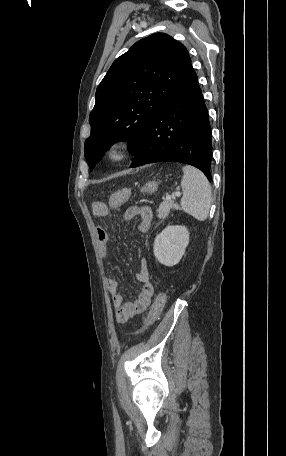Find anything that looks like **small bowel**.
<instances>
[{"instance_id": "c3829d8e", "label": "small bowel", "mask_w": 286, "mask_h": 456, "mask_svg": "<svg viewBox=\"0 0 286 456\" xmlns=\"http://www.w3.org/2000/svg\"><path fill=\"white\" fill-rule=\"evenodd\" d=\"M152 210L146 206H132L125 211L126 221H136L141 232L149 230L152 224ZM99 246L106 258L109 256V233L105 226L97 229ZM136 280L141 284V290L134 301H126L119 292V283L115 279L106 278V287L111 294L112 304L115 308V317L119 323H124L146 310L151 302L153 286L150 281L149 261L143 258L140 261Z\"/></svg>"}]
</instances>
